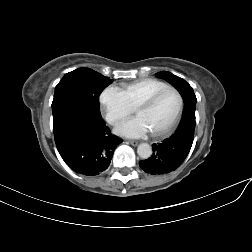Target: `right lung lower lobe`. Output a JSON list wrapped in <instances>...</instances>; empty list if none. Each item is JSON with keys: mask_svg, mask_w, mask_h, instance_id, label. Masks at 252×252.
Returning a JSON list of instances; mask_svg holds the SVG:
<instances>
[{"mask_svg": "<svg viewBox=\"0 0 252 252\" xmlns=\"http://www.w3.org/2000/svg\"><path fill=\"white\" fill-rule=\"evenodd\" d=\"M55 143L64 162L75 172L95 176L106 170L122 139L111 134L101 116L78 108L53 113Z\"/></svg>", "mask_w": 252, "mask_h": 252, "instance_id": "obj_1", "label": "right lung lower lobe"}]
</instances>
